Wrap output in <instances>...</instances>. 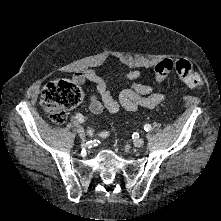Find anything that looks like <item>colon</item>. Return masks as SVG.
I'll list each match as a JSON object with an SVG mask.
<instances>
[{"label":"colon","mask_w":221,"mask_h":221,"mask_svg":"<svg viewBox=\"0 0 221 221\" xmlns=\"http://www.w3.org/2000/svg\"><path fill=\"white\" fill-rule=\"evenodd\" d=\"M172 72H176L188 86L199 88L203 84L201 76L186 59H164L154 68L155 79L158 82L164 81ZM82 99V89L68 80L48 83L41 94V104L55 124H63L69 109L79 105Z\"/></svg>","instance_id":"colon-1"}]
</instances>
